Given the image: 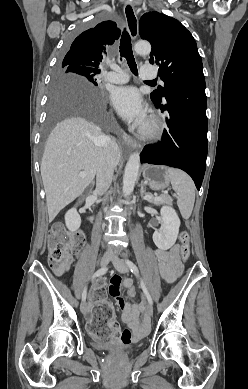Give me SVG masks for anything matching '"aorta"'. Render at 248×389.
Listing matches in <instances>:
<instances>
[{
  "instance_id": "762f6f07",
  "label": "aorta",
  "mask_w": 248,
  "mask_h": 389,
  "mask_svg": "<svg viewBox=\"0 0 248 389\" xmlns=\"http://www.w3.org/2000/svg\"><path fill=\"white\" fill-rule=\"evenodd\" d=\"M138 54L148 55L151 52V45L148 42H137L134 47ZM140 167V154L135 152L130 155L123 176V194L128 197L134 190Z\"/></svg>"
}]
</instances>
